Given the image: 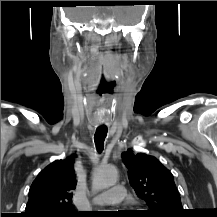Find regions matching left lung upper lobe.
I'll return each instance as SVG.
<instances>
[{
    "label": "left lung upper lobe",
    "instance_id": "1",
    "mask_svg": "<svg viewBox=\"0 0 217 217\" xmlns=\"http://www.w3.org/2000/svg\"><path fill=\"white\" fill-rule=\"evenodd\" d=\"M122 159L129 172L130 184L150 208L145 212L149 217L183 216L173 175L160 161L144 153L134 154L131 149L122 153Z\"/></svg>",
    "mask_w": 217,
    "mask_h": 217
}]
</instances>
